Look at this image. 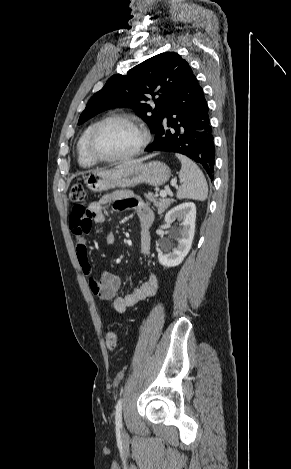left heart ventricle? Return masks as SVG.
Wrapping results in <instances>:
<instances>
[{
    "label": "left heart ventricle",
    "mask_w": 291,
    "mask_h": 469,
    "mask_svg": "<svg viewBox=\"0 0 291 469\" xmlns=\"http://www.w3.org/2000/svg\"><path fill=\"white\" fill-rule=\"evenodd\" d=\"M141 141V133L131 124L114 121L105 125L95 140L97 152L104 157H118L133 151Z\"/></svg>",
    "instance_id": "obj_1"
}]
</instances>
